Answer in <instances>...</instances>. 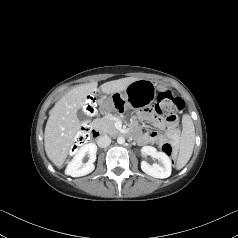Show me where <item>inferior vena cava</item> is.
Here are the masks:
<instances>
[{"instance_id": "inferior-vena-cava-1", "label": "inferior vena cava", "mask_w": 238, "mask_h": 238, "mask_svg": "<svg viewBox=\"0 0 238 238\" xmlns=\"http://www.w3.org/2000/svg\"><path fill=\"white\" fill-rule=\"evenodd\" d=\"M97 144L101 148H105L111 144V138L107 135H103L98 138Z\"/></svg>"}]
</instances>
